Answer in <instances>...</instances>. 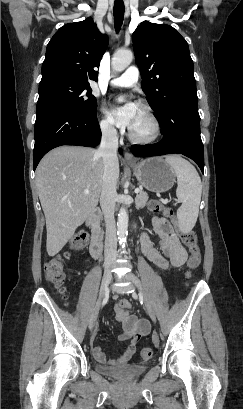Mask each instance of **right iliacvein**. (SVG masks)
<instances>
[{"mask_svg":"<svg viewBox=\"0 0 243 409\" xmlns=\"http://www.w3.org/2000/svg\"><path fill=\"white\" fill-rule=\"evenodd\" d=\"M112 279V272L110 269H106L102 278V283H101V289H100V295H99V299L96 303V305L93 308L90 320H89V325L88 328L89 330H92L95 326L97 317H98V313H99V308H100V304H101V299L104 296L105 291L107 290V287L110 283Z\"/></svg>","mask_w":243,"mask_h":409,"instance_id":"1","label":"right iliac vein"}]
</instances>
